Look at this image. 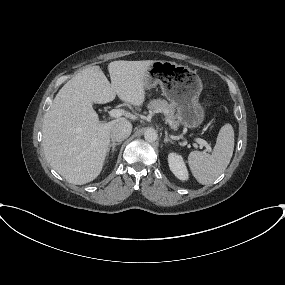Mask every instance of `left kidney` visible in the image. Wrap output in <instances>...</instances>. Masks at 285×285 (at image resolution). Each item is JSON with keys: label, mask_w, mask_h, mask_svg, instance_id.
<instances>
[{"label": "left kidney", "mask_w": 285, "mask_h": 285, "mask_svg": "<svg viewBox=\"0 0 285 285\" xmlns=\"http://www.w3.org/2000/svg\"><path fill=\"white\" fill-rule=\"evenodd\" d=\"M168 163L170 170L178 179L183 181L188 179V171L182 156L176 153H170L168 155Z\"/></svg>", "instance_id": "obj_1"}]
</instances>
